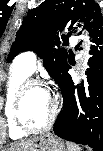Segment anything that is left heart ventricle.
<instances>
[{"mask_svg":"<svg viewBox=\"0 0 103 151\" xmlns=\"http://www.w3.org/2000/svg\"><path fill=\"white\" fill-rule=\"evenodd\" d=\"M51 100L45 89L32 87L26 93L20 110L21 119L30 127H41L48 120Z\"/></svg>","mask_w":103,"mask_h":151,"instance_id":"1","label":"left heart ventricle"}]
</instances>
